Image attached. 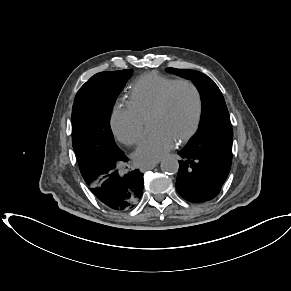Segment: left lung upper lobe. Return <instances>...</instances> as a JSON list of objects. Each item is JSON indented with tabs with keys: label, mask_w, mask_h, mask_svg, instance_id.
Wrapping results in <instances>:
<instances>
[{
	"label": "left lung upper lobe",
	"mask_w": 291,
	"mask_h": 291,
	"mask_svg": "<svg viewBox=\"0 0 291 291\" xmlns=\"http://www.w3.org/2000/svg\"><path fill=\"white\" fill-rule=\"evenodd\" d=\"M167 71L191 80L197 87L202 101L199 129L184 147L232 160L233 130L223 95L205 74L195 70L175 69Z\"/></svg>",
	"instance_id": "5c2ea615"
}]
</instances>
